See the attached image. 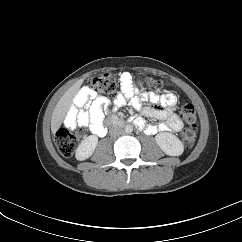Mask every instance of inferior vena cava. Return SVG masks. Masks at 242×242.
Listing matches in <instances>:
<instances>
[{
	"label": "inferior vena cava",
	"mask_w": 242,
	"mask_h": 242,
	"mask_svg": "<svg viewBox=\"0 0 242 242\" xmlns=\"http://www.w3.org/2000/svg\"><path fill=\"white\" fill-rule=\"evenodd\" d=\"M123 133V129L119 127H114L110 130V135L112 137H117Z\"/></svg>",
	"instance_id": "602c4592"
}]
</instances>
